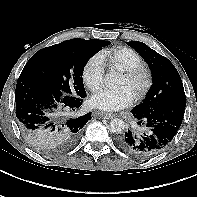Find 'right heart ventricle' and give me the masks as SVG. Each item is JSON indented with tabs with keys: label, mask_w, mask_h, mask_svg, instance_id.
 Returning <instances> with one entry per match:
<instances>
[{
	"label": "right heart ventricle",
	"mask_w": 197,
	"mask_h": 197,
	"mask_svg": "<svg viewBox=\"0 0 197 197\" xmlns=\"http://www.w3.org/2000/svg\"><path fill=\"white\" fill-rule=\"evenodd\" d=\"M99 56L104 64L120 71L143 65L142 56L134 49L126 46L103 50Z\"/></svg>",
	"instance_id": "1"
}]
</instances>
